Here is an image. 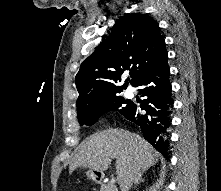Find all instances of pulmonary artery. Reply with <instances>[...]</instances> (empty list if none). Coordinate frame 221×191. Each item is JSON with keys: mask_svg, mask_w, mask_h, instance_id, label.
<instances>
[{"mask_svg": "<svg viewBox=\"0 0 221 191\" xmlns=\"http://www.w3.org/2000/svg\"><path fill=\"white\" fill-rule=\"evenodd\" d=\"M125 94H126V97L128 98H132L134 96V92L130 89L127 90Z\"/></svg>", "mask_w": 221, "mask_h": 191, "instance_id": "obj_1", "label": "pulmonary artery"}]
</instances>
